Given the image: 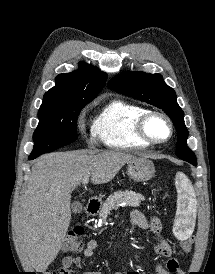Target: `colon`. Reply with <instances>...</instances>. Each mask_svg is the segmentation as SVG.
<instances>
[{"instance_id": "obj_1", "label": "colon", "mask_w": 215, "mask_h": 274, "mask_svg": "<svg viewBox=\"0 0 215 274\" xmlns=\"http://www.w3.org/2000/svg\"><path fill=\"white\" fill-rule=\"evenodd\" d=\"M83 234L82 229L74 228L70 230L67 234L63 245L64 253H76L82 250V242L80 240V236ZM181 247L184 251L188 252L192 248V242L187 240L181 243ZM64 270L60 269L58 271L50 272L48 274H64Z\"/></svg>"}]
</instances>
